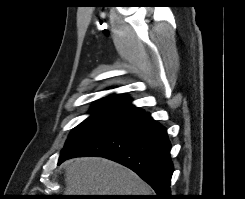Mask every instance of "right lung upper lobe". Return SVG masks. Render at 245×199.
I'll return each instance as SVG.
<instances>
[{"instance_id": "1", "label": "right lung upper lobe", "mask_w": 245, "mask_h": 199, "mask_svg": "<svg viewBox=\"0 0 245 199\" xmlns=\"http://www.w3.org/2000/svg\"><path fill=\"white\" fill-rule=\"evenodd\" d=\"M131 98L125 94H112L93 104V109L106 113L120 114L126 117L143 112L142 109L130 104Z\"/></svg>"}]
</instances>
